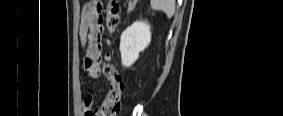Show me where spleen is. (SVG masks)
<instances>
[{
  "mask_svg": "<svg viewBox=\"0 0 283 116\" xmlns=\"http://www.w3.org/2000/svg\"><path fill=\"white\" fill-rule=\"evenodd\" d=\"M150 4L153 10L164 12L167 18H171L175 13L174 0H151Z\"/></svg>",
  "mask_w": 283,
  "mask_h": 116,
  "instance_id": "obj_1",
  "label": "spleen"
}]
</instances>
